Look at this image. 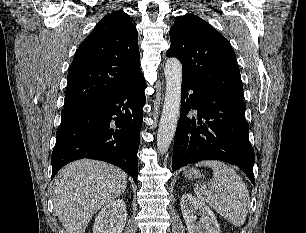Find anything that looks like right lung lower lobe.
<instances>
[{
	"label": "right lung lower lobe",
	"instance_id": "right-lung-lower-lobe-1",
	"mask_svg": "<svg viewBox=\"0 0 306 233\" xmlns=\"http://www.w3.org/2000/svg\"><path fill=\"white\" fill-rule=\"evenodd\" d=\"M145 88L141 74L112 97L62 110L51 158L52 178L69 162L91 158L120 167L136 182Z\"/></svg>",
	"mask_w": 306,
	"mask_h": 233
}]
</instances>
